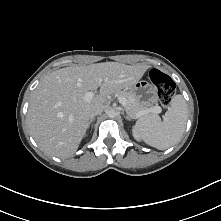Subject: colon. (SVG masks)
Wrapping results in <instances>:
<instances>
[{
	"mask_svg": "<svg viewBox=\"0 0 221 221\" xmlns=\"http://www.w3.org/2000/svg\"><path fill=\"white\" fill-rule=\"evenodd\" d=\"M150 81L157 87L158 97L163 107H168L176 91L174 81L158 69H152L149 73Z\"/></svg>",
	"mask_w": 221,
	"mask_h": 221,
	"instance_id": "obj_1",
	"label": "colon"
}]
</instances>
